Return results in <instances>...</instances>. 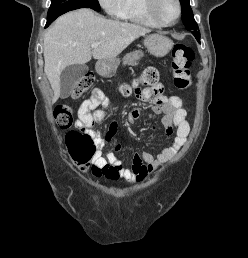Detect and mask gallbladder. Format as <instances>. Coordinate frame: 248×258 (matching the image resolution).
I'll list each match as a JSON object with an SVG mask.
<instances>
[{
  "label": "gallbladder",
  "instance_id": "bac80fb5",
  "mask_svg": "<svg viewBox=\"0 0 248 258\" xmlns=\"http://www.w3.org/2000/svg\"><path fill=\"white\" fill-rule=\"evenodd\" d=\"M88 71L85 64H74L67 66L60 76V97L67 98L72 93L74 86L81 80Z\"/></svg>",
  "mask_w": 248,
  "mask_h": 258
}]
</instances>
